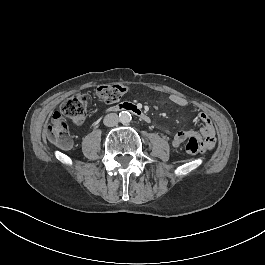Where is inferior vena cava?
I'll return each mask as SVG.
<instances>
[{
	"label": "inferior vena cava",
	"instance_id": "obj_1",
	"mask_svg": "<svg viewBox=\"0 0 265 265\" xmlns=\"http://www.w3.org/2000/svg\"><path fill=\"white\" fill-rule=\"evenodd\" d=\"M103 123L107 127H114L119 123V118L117 114L111 113L104 117Z\"/></svg>",
	"mask_w": 265,
	"mask_h": 265
}]
</instances>
